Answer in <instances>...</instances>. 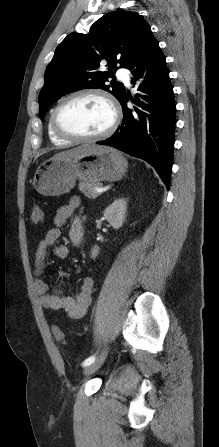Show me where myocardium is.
<instances>
[{"label": "myocardium", "instance_id": "1", "mask_svg": "<svg viewBox=\"0 0 219 447\" xmlns=\"http://www.w3.org/2000/svg\"><path fill=\"white\" fill-rule=\"evenodd\" d=\"M97 96L101 99H103L110 107L112 118L111 122L108 125V127L95 135H77L70 132L65 131L59 124V113L62 109V107L70 102L71 100L81 97V96ZM120 108L117 104V102L114 100V98L108 93L100 89L96 88H85L80 89L77 91H74L67 95L65 98H63L58 105L55 107V109L52 112L51 115V125L53 131L61 138L72 141V142H93L98 141L104 138L109 137L114 133V131L117 129L119 121H120Z\"/></svg>", "mask_w": 219, "mask_h": 447}]
</instances>
